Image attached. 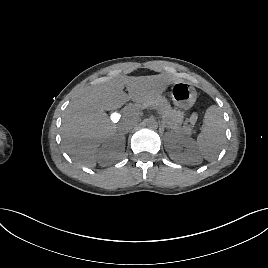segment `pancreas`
<instances>
[{
	"label": "pancreas",
	"mask_w": 268,
	"mask_h": 268,
	"mask_svg": "<svg viewBox=\"0 0 268 268\" xmlns=\"http://www.w3.org/2000/svg\"><path fill=\"white\" fill-rule=\"evenodd\" d=\"M143 104L146 106H152L156 109L162 115V121L166 127L181 134H190L192 132L195 121H191L190 124H184L181 126L184 114L179 110L173 109L165 98H151Z\"/></svg>",
	"instance_id": "pancreas-1"
}]
</instances>
